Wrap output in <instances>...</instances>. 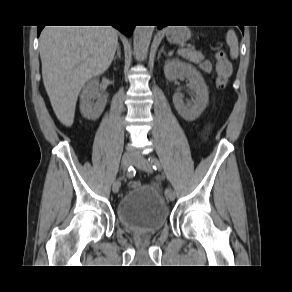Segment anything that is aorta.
Returning a JSON list of instances; mask_svg holds the SVG:
<instances>
[{
  "label": "aorta",
  "mask_w": 292,
  "mask_h": 292,
  "mask_svg": "<svg viewBox=\"0 0 292 292\" xmlns=\"http://www.w3.org/2000/svg\"><path fill=\"white\" fill-rule=\"evenodd\" d=\"M154 26H136L133 34L134 53L138 60L145 59L150 46Z\"/></svg>",
  "instance_id": "aorta-1"
}]
</instances>
